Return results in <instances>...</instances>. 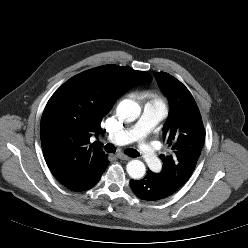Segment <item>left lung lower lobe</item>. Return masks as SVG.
<instances>
[{
  "label": "left lung lower lobe",
  "instance_id": "0a47b994",
  "mask_svg": "<svg viewBox=\"0 0 248 248\" xmlns=\"http://www.w3.org/2000/svg\"><path fill=\"white\" fill-rule=\"evenodd\" d=\"M130 184L134 194L146 201L162 200L173 194L151 171H148L147 175L141 180H131Z\"/></svg>",
  "mask_w": 248,
  "mask_h": 248
}]
</instances>
